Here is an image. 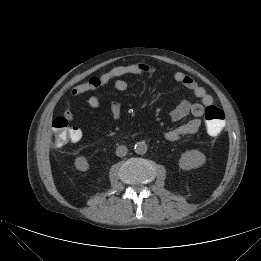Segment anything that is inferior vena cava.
I'll list each match as a JSON object with an SVG mask.
<instances>
[{"label":"inferior vena cava","instance_id":"inferior-vena-cava-1","mask_svg":"<svg viewBox=\"0 0 261 261\" xmlns=\"http://www.w3.org/2000/svg\"><path fill=\"white\" fill-rule=\"evenodd\" d=\"M127 152H128V149H127V147L124 146V145H120V146H118L117 149H116V155H117L118 157H124V156L127 154Z\"/></svg>","mask_w":261,"mask_h":261}]
</instances>
